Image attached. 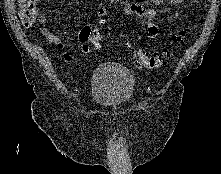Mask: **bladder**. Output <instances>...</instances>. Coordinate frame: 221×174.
I'll list each match as a JSON object with an SVG mask.
<instances>
[{"instance_id":"bladder-1","label":"bladder","mask_w":221,"mask_h":174,"mask_svg":"<svg viewBox=\"0 0 221 174\" xmlns=\"http://www.w3.org/2000/svg\"><path fill=\"white\" fill-rule=\"evenodd\" d=\"M134 88L133 75L119 64H101L92 75V99L106 108H119L127 104L134 95Z\"/></svg>"}]
</instances>
